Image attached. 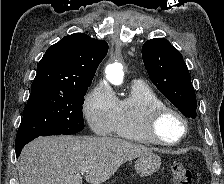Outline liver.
Wrapping results in <instances>:
<instances>
[{"label": "liver", "instance_id": "1", "mask_svg": "<svg viewBox=\"0 0 224 184\" xmlns=\"http://www.w3.org/2000/svg\"><path fill=\"white\" fill-rule=\"evenodd\" d=\"M152 153L112 137L48 136L28 143L17 162L20 184H90L107 181L126 161Z\"/></svg>", "mask_w": 224, "mask_h": 184}]
</instances>
